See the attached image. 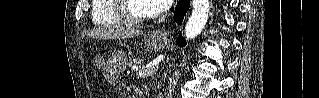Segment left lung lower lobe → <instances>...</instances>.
I'll return each instance as SVG.
<instances>
[{
    "instance_id": "1",
    "label": "left lung lower lobe",
    "mask_w": 319,
    "mask_h": 98,
    "mask_svg": "<svg viewBox=\"0 0 319 98\" xmlns=\"http://www.w3.org/2000/svg\"><path fill=\"white\" fill-rule=\"evenodd\" d=\"M190 1L189 0H179L175 13H174V19L176 22L181 23L184 15L189 9ZM177 43L181 46L186 45V41L184 38H182L181 35L178 36Z\"/></svg>"
}]
</instances>
